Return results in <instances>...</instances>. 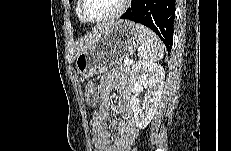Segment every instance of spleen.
Wrapping results in <instances>:
<instances>
[{
	"label": "spleen",
	"instance_id": "spleen-1",
	"mask_svg": "<svg viewBox=\"0 0 231 151\" xmlns=\"http://www.w3.org/2000/svg\"><path fill=\"white\" fill-rule=\"evenodd\" d=\"M138 35L139 58L145 62L159 61L164 56V45L158 36L142 24H136Z\"/></svg>",
	"mask_w": 231,
	"mask_h": 151
}]
</instances>
